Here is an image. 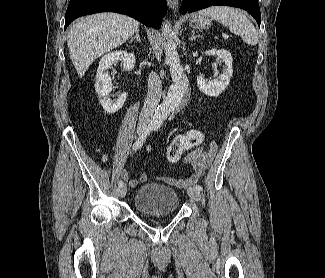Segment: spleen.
Wrapping results in <instances>:
<instances>
[{
	"instance_id": "obj_1",
	"label": "spleen",
	"mask_w": 325,
	"mask_h": 278,
	"mask_svg": "<svg viewBox=\"0 0 325 278\" xmlns=\"http://www.w3.org/2000/svg\"><path fill=\"white\" fill-rule=\"evenodd\" d=\"M198 14L208 16L229 28L235 35H240L248 45H256L259 37L251 21L238 9L228 6H212L200 10Z\"/></svg>"
}]
</instances>
